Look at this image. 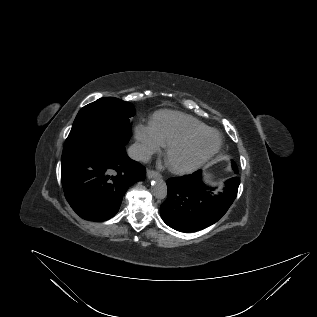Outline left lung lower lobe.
Listing matches in <instances>:
<instances>
[{"mask_svg": "<svg viewBox=\"0 0 317 317\" xmlns=\"http://www.w3.org/2000/svg\"><path fill=\"white\" fill-rule=\"evenodd\" d=\"M237 173V168L233 167ZM201 170L167 180L168 195L160 207L163 221L181 232H194L217 222L237 196L240 183L233 177L225 183L223 193L203 184Z\"/></svg>", "mask_w": 317, "mask_h": 317, "instance_id": "0a47b994", "label": "left lung lower lobe"}]
</instances>
